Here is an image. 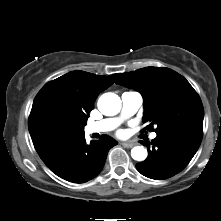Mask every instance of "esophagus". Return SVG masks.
<instances>
[{
    "label": "esophagus",
    "instance_id": "34e87169",
    "mask_svg": "<svg viewBox=\"0 0 221 221\" xmlns=\"http://www.w3.org/2000/svg\"><path fill=\"white\" fill-rule=\"evenodd\" d=\"M135 144L130 142H123L122 146L125 148H132Z\"/></svg>",
    "mask_w": 221,
    "mask_h": 221
}]
</instances>
